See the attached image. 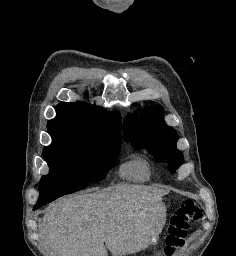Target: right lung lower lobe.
<instances>
[{"instance_id": "1", "label": "right lung lower lobe", "mask_w": 236, "mask_h": 256, "mask_svg": "<svg viewBox=\"0 0 236 256\" xmlns=\"http://www.w3.org/2000/svg\"><path fill=\"white\" fill-rule=\"evenodd\" d=\"M49 201H46V202H37V204L34 206L33 210H36L38 209L39 207H41L42 205L48 203ZM51 202V201H50Z\"/></svg>"}]
</instances>
